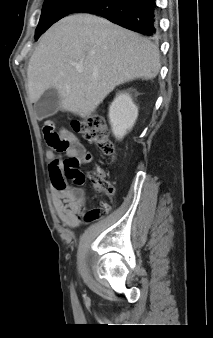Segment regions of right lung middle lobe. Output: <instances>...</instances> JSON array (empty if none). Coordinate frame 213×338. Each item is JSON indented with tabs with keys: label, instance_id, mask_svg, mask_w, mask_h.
<instances>
[{
	"label": "right lung middle lobe",
	"instance_id": "dd1d6c3e",
	"mask_svg": "<svg viewBox=\"0 0 213 338\" xmlns=\"http://www.w3.org/2000/svg\"><path fill=\"white\" fill-rule=\"evenodd\" d=\"M92 0H45L35 39L61 18L74 13L78 8Z\"/></svg>",
	"mask_w": 213,
	"mask_h": 338
}]
</instances>
